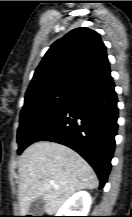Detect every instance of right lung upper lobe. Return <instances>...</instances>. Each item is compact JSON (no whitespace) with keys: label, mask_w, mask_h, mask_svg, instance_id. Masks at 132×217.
Returning <instances> with one entry per match:
<instances>
[{"label":"right lung upper lobe","mask_w":132,"mask_h":217,"mask_svg":"<svg viewBox=\"0 0 132 217\" xmlns=\"http://www.w3.org/2000/svg\"><path fill=\"white\" fill-rule=\"evenodd\" d=\"M100 34L76 28L54 42L35 70L25 98L54 92L79 94L112 79Z\"/></svg>","instance_id":"obj_1"}]
</instances>
